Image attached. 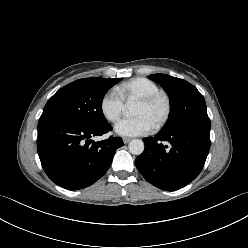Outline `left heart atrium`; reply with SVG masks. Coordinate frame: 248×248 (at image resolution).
I'll list each match as a JSON object with an SVG mask.
<instances>
[{
    "label": "left heart atrium",
    "mask_w": 248,
    "mask_h": 248,
    "mask_svg": "<svg viewBox=\"0 0 248 248\" xmlns=\"http://www.w3.org/2000/svg\"><path fill=\"white\" fill-rule=\"evenodd\" d=\"M153 124L144 116L124 118L118 121L114 127L115 132L121 136H140L150 133Z\"/></svg>",
    "instance_id": "left-heart-atrium-1"
}]
</instances>
